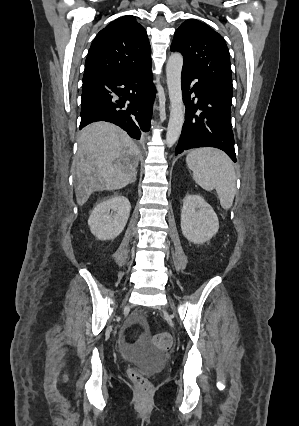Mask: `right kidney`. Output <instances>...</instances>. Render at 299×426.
<instances>
[{
	"label": "right kidney",
	"mask_w": 299,
	"mask_h": 426,
	"mask_svg": "<svg viewBox=\"0 0 299 426\" xmlns=\"http://www.w3.org/2000/svg\"><path fill=\"white\" fill-rule=\"evenodd\" d=\"M131 205L122 195L115 194L109 199L101 201L93 209L88 225L91 233L99 240L116 238L126 226Z\"/></svg>",
	"instance_id": "right-kidney-1"
}]
</instances>
